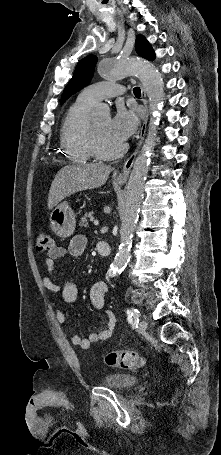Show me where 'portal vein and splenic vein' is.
I'll return each instance as SVG.
<instances>
[{
	"label": "portal vein and splenic vein",
	"mask_w": 221,
	"mask_h": 455,
	"mask_svg": "<svg viewBox=\"0 0 221 455\" xmlns=\"http://www.w3.org/2000/svg\"><path fill=\"white\" fill-rule=\"evenodd\" d=\"M94 225H99V221L98 220H94Z\"/></svg>",
	"instance_id": "18ae733b"
}]
</instances>
